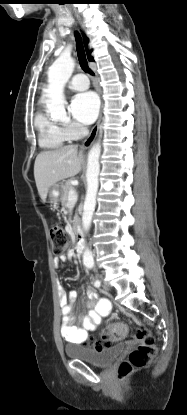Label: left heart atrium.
Listing matches in <instances>:
<instances>
[{"instance_id":"39dd6f15","label":"left heart atrium","mask_w":187,"mask_h":415,"mask_svg":"<svg viewBox=\"0 0 187 415\" xmlns=\"http://www.w3.org/2000/svg\"><path fill=\"white\" fill-rule=\"evenodd\" d=\"M99 98L92 92H83L77 94L70 105V111L73 117L83 124H91L99 112Z\"/></svg>"}]
</instances>
